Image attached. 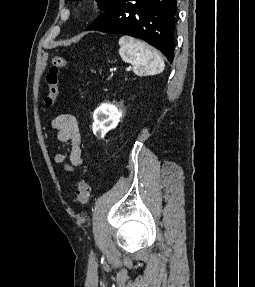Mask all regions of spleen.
I'll return each instance as SVG.
<instances>
[{"label":"spleen","instance_id":"3e777b00","mask_svg":"<svg viewBox=\"0 0 255 287\" xmlns=\"http://www.w3.org/2000/svg\"><path fill=\"white\" fill-rule=\"evenodd\" d=\"M119 44L121 46V58H123L124 62L132 64L134 70L151 72V74L163 72L165 64L162 58H160L156 50H153L144 42H139V40H134V38H129V36H122Z\"/></svg>","mask_w":255,"mask_h":287}]
</instances>
